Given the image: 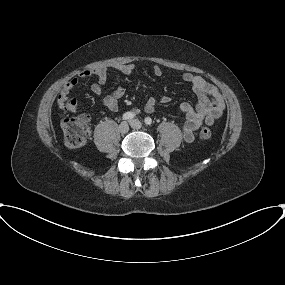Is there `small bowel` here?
<instances>
[{
  "label": "small bowel",
  "instance_id": "small-bowel-1",
  "mask_svg": "<svg viewBox=\"0 0 285 285\" xmlns=\"http://www.w3.org/2000/svg\"><path fill=\"white\" fill-rule=\"evenodd\" d=\"M115 69L121 74L129 75L134 71L135 66L128 63L119 65ZM152 73L159 77L163 72L159 66H153ZM107 77L106 69L96 68L87 69L81 72L77 77L70 79L62 86L60 93L58 94L57 104L59 108L69 112L77 111V101L70 98L69 94L77 86L80 79L96 78L97 81L92 84L91 91L94 95L101 96L103 91L102 87L106 83ZM182 78L185 82L191 84L194 93L198 97V102L194 107L187 102H183L179 107L180 114L184 119L182 126L183 138L185 142L191 143L195 138V131L199 129L201 125L204 123L212 125L215 120L222 115L225 104L218 89L201 76L186 72L182 75ZM124 94V88L118 86L113 92L103 96L101 102L107 109L117 111L119 107L118 101ZM160 101L161 103L166 104L169 102V98L167 96H162ZM155 107L156 100L150 98L146 102L144 110L148 113H152L154 112ZM134 111L138 113L140 110L135 109Z\"/></svg>",
  "mask_w": 285,
  "mask_h": 285
}]
</instances>
